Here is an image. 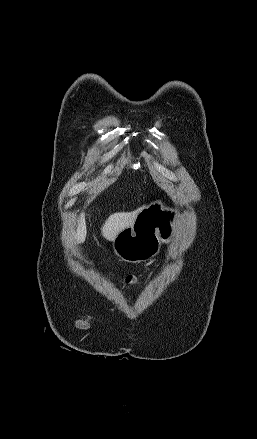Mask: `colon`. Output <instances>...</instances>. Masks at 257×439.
<instances>
[{
	"label": "colon",
	"mask_w": 257,
	"mask_h": 439,
	"mask_svg": "<svg viewBox=\"0 0 257 439\" xmlns=\"http://www.w3.org/2000/svg\"><path fill=\"white\" fill-rule=\"evenodd\" d=\"M136 283H137V278L134 275H128L125 278V284L126 285L132 286V285H135Z\"/></svg>",
	"instance_id": "colon-1"
}]
</instances>
